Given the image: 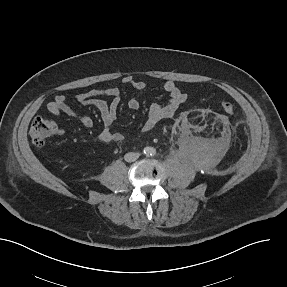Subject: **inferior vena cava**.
<instances>
[{"label":"inferior vena cava","instance_id":"inferior-vena-cava-1","mask_svg":"<svg viewBox=\"0 0 287 287\" xmlns=\"http://www.w3.org/2000/svg\"><path fill=\"white\" fill-rule=\"evenodd\" d=\"M140 154L136 152H128L125 154L124 159L127 162H134L139 158Z\"/></svg>","mask_w":287,"mask_h":287}]
</instances>
